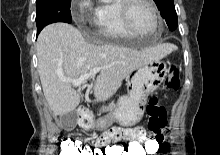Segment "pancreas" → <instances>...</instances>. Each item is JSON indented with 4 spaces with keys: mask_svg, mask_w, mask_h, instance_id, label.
Wrapping results in <instances>:
<instances>
[{
    "mask_svg": "<svg viewBox=\"0 0 220 155\" xmlns=\"http://www.w3.org/2000/svg\"><path fill=\"white\" fill-rule=\"evenodd\" d=\"M117 108L116 104L114 102L109 103L107 106H102L99 110V113L103 112H113Z\"/></svg>",
    "mask_w": 220,
    "mask_h": 155,
    "instance_id": "cf45deb5",
    "label": "pancreas"
}]
</instances>
